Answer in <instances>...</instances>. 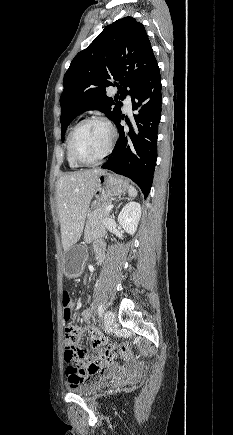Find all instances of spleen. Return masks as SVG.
<instances>
[{"mask_svg":"<svg viewBox=\"0 0 233 435\" xmlns=\"http://www.w3.org/2000/svg\"><path fill=\"white\" fill-rule=\"evenodd\" d=\"M128 194L130 197H136L138 194V191L136 190V188H134L132 185H130L128 188Z\"/></svg>","mask_w":233,"mask_h":435,"instance_id":"3e777b00","label":"spleen"}]
</instances>
